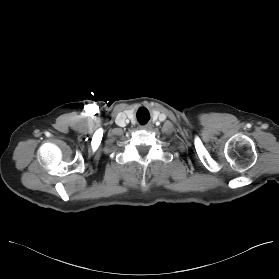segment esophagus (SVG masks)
<instances>
[{"label":"esophagus","mask_w":279,"mask_h":279,"mask_svg":"<svg viewBox=\"0 0 279 279\" xmlns=\"http://www.w3.org/2000/svg\"><path fill=\"white\" fill-rule=\"evenodd\" d=\"M148 128H150V125H145L141 127V129H148Z\"/></svg>","instance_id":"esophagus-1"}]
</instances>
